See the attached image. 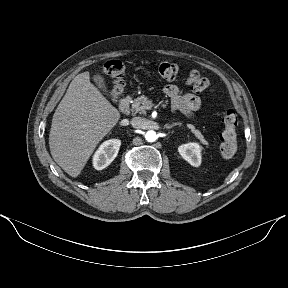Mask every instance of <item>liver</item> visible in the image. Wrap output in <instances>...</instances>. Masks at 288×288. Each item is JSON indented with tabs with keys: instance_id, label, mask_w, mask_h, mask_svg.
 Listing matches in <instances>:
<instances>
[{
	"instance_id": "liver-1",
	"label": "liver",
	"mask_w": 288,
	"mask_h": 288,
	"mask_svg": "<svg viewBox=\"0 0 288 288\" xmlns=\"http://www.w3.org/2000/svg\"><path fill=\"white\" fill-rule=\"evenodd\" d=\"M119 119V111L90 82L89 72L78 74L52 118L49 146L53 159L77 177Z\"/></svg>"
}]
</instances>
